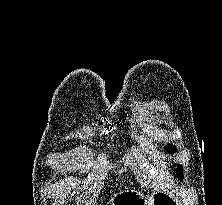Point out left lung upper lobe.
Here are the masks:
<instances>
[{
    "mask_svg": "<svg viewBox=\"0 0 222 205\" xmlns=\"http://www.w3.org/2000/svg\"><path fill=\"white\" fill-rule=\"evenodd\" d=\"M166 149L171 154H174L177 151V149L173 145H171V144L167 145ZM182 173H183V167L182 166H178L177 167V174L179 176L180 181L183 180V174Z\"/></svg>",
    "mask_w": 222,
    "mask_h": 205,
    "instance_id": "left-lung-upper-lobe-1",
    "label": "left lung upper lobe"
}]
</instances>
